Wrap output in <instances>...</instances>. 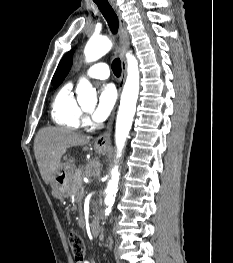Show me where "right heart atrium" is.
I'll return each mask as SVG.
<instances>
[{"instance_id":"d8ad5b80","label":"right heart atrium","mask_w":233,"mask_h":263,"mask_svg":"<svg viewBox=\"0 0 233 263\" xmlns=\"http://www.w3.org/2000/svg\"><path fill=\"white\" fill-rule=\"evenodd\" d=\"M83 123H84V124H88V123H89L88 117H83Z\"/></svg>"}]
</instances>
